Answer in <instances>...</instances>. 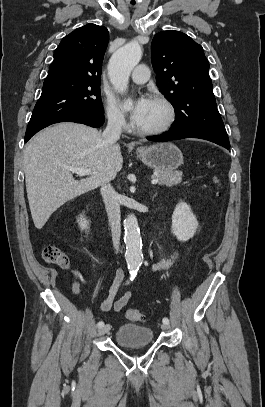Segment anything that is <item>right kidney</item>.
<instances>
[{"label":"right kidney","mask_w":265,"mask_h":407,"mask_svg":"<svg viewBox=\"0 0 265 407\" xmlns=\"http://www.w3.org/2000/svg\"><path fill=\"white\" fill-rule=\"evenodd\" d=\"M77 221L81 230L88 229L89 221L85 219L82 215L78 218Z\"/></svg>","instance_id":"obj_1"}]
</instances>
